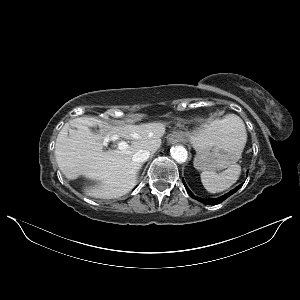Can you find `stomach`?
<instances>
[{"label": "stomach", "mask_w": 300, "mask_h": 300, "mask_svg": "<svg viewBox=\"0 0 300 300\" xmlns=\"http://www.w3.org/2000/svg\"><path fill=\"white\" fill-rule=\"evenodd\" d=\"M196 150L194 167L201 171L222 170L235 164L244 149L243 136L232 120H215L192 133H183Z\"/></svg>", "instance_id": "1"}]
</instances>
